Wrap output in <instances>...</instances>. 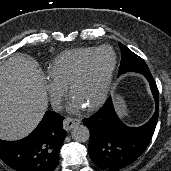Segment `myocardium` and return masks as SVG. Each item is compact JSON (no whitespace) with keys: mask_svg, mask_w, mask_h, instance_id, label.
Here are the masks:
<instances>
[{"mask_svg":"<svg viewBox=\"0 0 171 171\" xmlns=\"http://www.w3.org/2000/svg\"><path fill=\"white\" fill-rule=\"evenodd\" d=\"M103 50H109L113 54V64L111 66V69H110L107 77H106L104 88H103V91H102L101 95L99 96V98L94 103H92L91 105L87 106L88 110H94V109L98 108L100 105H102L104 103V101L107 99V97L109 95V92H110V89H111V85H112V81H113L114 74H115L116 67H117V54L114 51V49L112 47H110V46H107V45L100 46V47L96 48L84 60V62L80 65V67L75 72V74L71 78L70 83L68 85V90H69L70 93H72V90H73L74 86L84 76V74L86 73V71H87L91 61L95 57V55L98 54L99 52L103 51Z\"/></svg>","mask_w":171,"mask_h":171,"instance_id":"obj_1","label":"myocardium"}]
</instances>
